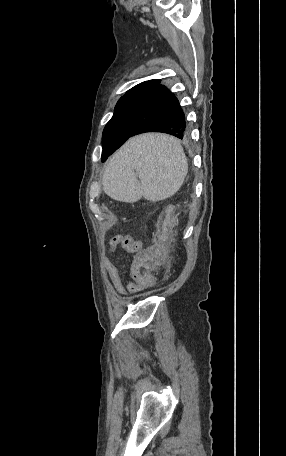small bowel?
<instances>
[{
	"mask_svg": "<svg viewBox=\"0 0 286 456\" xmlns=\"http://www.w3.org/2000/svg\"><path fill=\"white\" fill-rule=\"evenodd\" d=\"M109 244V255L114 254L120 247L124 248L129 253H133L137 252V248L139 246H142V242L140 240L133 239L128 235H116L111 238ZM104 266L113 288L120 295L125 296L130 293H137L141 290L134 282H129L126 286L123 284L119 270L109 256L106 257Z\"/></svg>",
	"mask_w": 286,
	"mask_h": 456,
	"instance_id": "1",
	"label": "small bowel"
}]
</instances>
